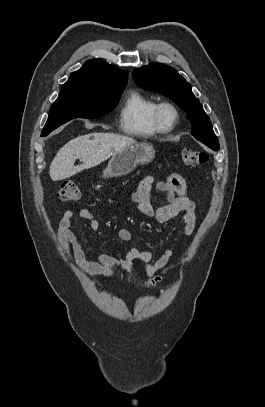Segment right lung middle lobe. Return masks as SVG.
Listing matches in <instances>:
<instances>
[{
    "mask_svg": "<svg viewBox=\"0 0 265 407\" xmlns=\"http://www.w3.org/2000/svg\"><path fill=\"white\" fill-rule=\"evenodd\" d=\"M125 87L126 84L67 81L51 107L41 135H48L74 118H97L111 112Z\"/></svg>",
    "mask_w": 265,
    "mask_h": 407,
    "instance_id": "obj_1",
    "label": "right lung middle lobe"
}]
</instances>
